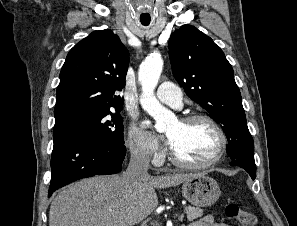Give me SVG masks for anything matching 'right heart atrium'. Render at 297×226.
Wrapping results in <instances>:
<instances>
[{
  "label": "right heart atrium",
  "instance_id": "d8ad5b80",
  "mask_svg": "<svg viewBox=\"0 0 297 226\" xmlns=\"http://www.w3.org/2000/svg\"><path fill=\"white\" fill-rule=\"evenodd\" d=\"M127 144L131 156L141 163H157L162 152L156 140L148 133L132 126L128 133Z\"/></svg>",
  "mask_w": 297,
  "mask_h": 226
}]
</instances>
